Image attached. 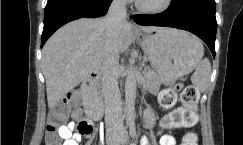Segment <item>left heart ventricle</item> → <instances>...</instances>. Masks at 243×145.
I'll list each match as a JSON object with an SVG mask.
<instances>
[{
  "instance_id": "1",
  "label": "left heart ventricle",
  "mask_w": 243,
  "mask_h": 145,
  "mask_svg": "<svg viewBox=\"0 0 243 145\" xmlns=\"http://www.w3.org/2000/svg\"><path fill=\"white\" fill-rule=\"evenodd\" d=\"M140 3L146 7H157L160 6L164 0H138Z\"/></svg>"
}]
</instances>
